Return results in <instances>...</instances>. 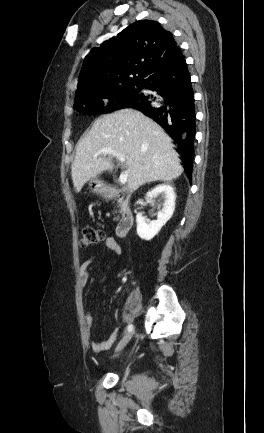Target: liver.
<instances>
[{
	"mask_svg": "<svg viewBox=\"0 0 264 433\" xmlns=\"http://www.w3.org/2000/svg\"><path fill=\"white\" fill-rule=\"evenodd\" d=\"M103 148L125 155L127 187L133 192L154 181L178 178L183 168L170 137L139 111L121 109L97 119L76 148L71 176L76 192L104 171H112L111 157L94 155Z\"/></svg>",
	"mask_w": 264,
	"mask_h": 433,
	"instance_id": "6515ba94",
	"label": "liver"
}]
</instances>
